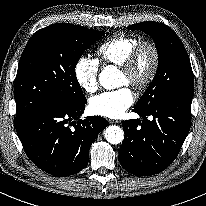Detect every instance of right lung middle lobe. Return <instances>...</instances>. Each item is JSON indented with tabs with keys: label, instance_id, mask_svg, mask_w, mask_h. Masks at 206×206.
<instances>
[{
	"label": "right lung middle lobe",
	"instance_id": "right-lung-middle-lobe-1",
	"mask_svg": "<svg viewBox=\"0 0 206 206\" xmlns=\"http://www.w3.org/2000/svg\"><path fill=\"white\" fill-rule=\"evenodd\" d=\"M104 32L70 23L38 30L28 41L15 78L16 116L34 109L78 104L85 96L76 78L78 59Z\"/></svg>",
	"mask_w": 206,
	"mask_h": 206
}]
</instances>
